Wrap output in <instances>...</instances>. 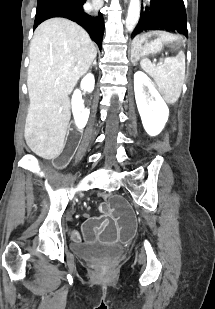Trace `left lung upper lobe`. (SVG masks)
Here are the masks:
<instances>
[{
    "label": "left lung upper lobe",
    "mask_w": 215,
    "mask_h": 309,
    "mask_svg": "<svg viewBox=\"0 0 215 309\" xmlns=\"http://www.w3.org/2000/svg\"><path fill=\"white\" fill-rule=\"evenodd\" d=\"M148 29H167L188 36L183 0H146L133 34Z\"/></svg>",
    "instance_id": "obj_1"
}]
</instances>
